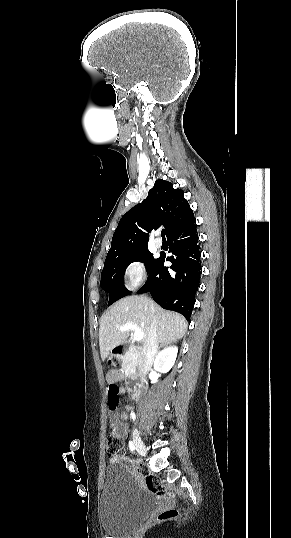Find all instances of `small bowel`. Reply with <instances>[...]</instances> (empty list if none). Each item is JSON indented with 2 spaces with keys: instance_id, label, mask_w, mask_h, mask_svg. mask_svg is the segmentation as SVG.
<instances>
[{
  "instance_id": "c3829d8e",
  "label": "small bowel",
  "mask_w": 291,
  "mask_h": 538,
  "mask_svg": "<svg viewBox=\"0 0 291 538\" xmlns=\"http://www.w3.org/2000/svg\"><path fill=\"white\" fill-rule=\"evenodd\" d=\"M124 379V375L120 374L116 371H112L107 376V382L109 385L115 384L117 385V382ZM119 388V394H123L125 391L122 387ZM127 409H131V407L128 405ZM128 416L126 413L118 414L117 412H111L109 415V419L114 427V430L117 432V434L124 438L127 435L128 428L127 425L124 423L125 420H127ZM111 463H118L122 462L126 464L127 466L131 467V461L124 455H115L110 457Z\"/></svg>"
}]
</instances>
